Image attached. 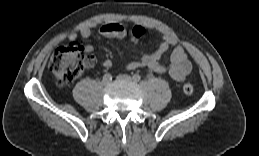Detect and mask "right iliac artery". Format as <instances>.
Returning <instances> with one entry per match:
<instances>
[{
	"label": "right iliac artery",
	"instance_id": "1",
	"mask_svg": "<svg viewBox=\"0 0 259 156\" xmlns=\"http://www.w3.org/2000/svg\"><path fill=\"white\" fill-rule=\"evenodd\" d=\"M103 79L105 80H111L112 79V75L110 73H106L104 76H103Z\"/></svg>",
	"mask_w": 259,
	"mask_h": 156
}]
</instances>
